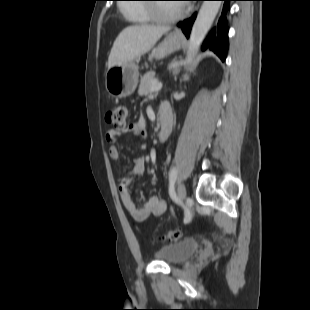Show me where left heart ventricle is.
Returning <instances> with one entry per match:
<instances>
[{"mask_svg": "<svg viewBox=\"0 0 310 310\" xmlns=\"http://www.w3.org/2000/svg\"><path fill=\"white\" fill-rule=\"evenodd\" d=\"M160 9L163 13H173L181 10V8L176 4H161Z\"/></svg>", "mask_w": 310, "mask_h": 310, "instance_id": "left-heart-ventricle-1", "label": "left heart ventricle"}]
</instances>
